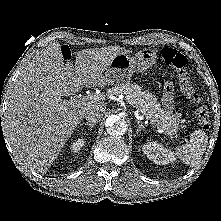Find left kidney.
I'll return each mask as SVG.
<instances>
[{
    "mask_svg": "<svg viewBox=\"0 0 221 221\" xmlns=\"http://www.w3.org/2000/svg\"><path fill=\"white\" fill-rule=\"evenodd\" d=\"M143 153L148 159L158 165H166L175 161L172 151L157 142H148L142 146Z\"/></svg>",
    "mask_w": 221,
    "mask_h": 221,
    "instance_id": "1",
    "label": "left kidney"
}]
</instances>
